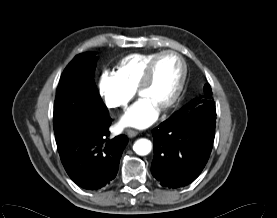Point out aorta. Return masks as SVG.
<instances>
[{
  "label": "aorta",
  "instance_id": "obj_1",
  "mask_svg": "<svg viewBox=\"0 0 277 218\" xmlns=\"http://www.w3.org/2000/svg\"><path fill=\"white\" fill-rule=\"evenodd\" d=\"M152 149V143L150 140L141 138L138 139L134 145H133V150L137 155L140 156H145L151 152Z\"/></svg>",
  "mask_w": 277,
  "mask_h": 218
}]
</instances>
